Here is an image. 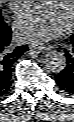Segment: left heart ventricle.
Returning <instances> with one entry per match:
<instances>
[{
  "label": "left heart ventricle",
  "mask_w": 74,
  "mask_h": 122,
  "mask_svg": "<svg viewBox=\"0 0 74 122\" xmlns=\"http://www.w3.org/2000/svg\"><path fill=\"white\" fill-rule=\"evenodd\" d=\"M41 3L52 5L65 21L71 20L72 1H41Z\"/></svg>",
  "instance_id": "b2bd125f"
}]
</instances>
